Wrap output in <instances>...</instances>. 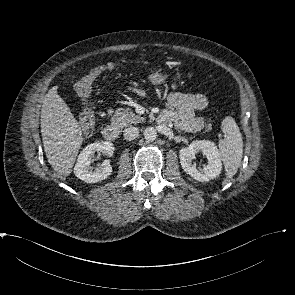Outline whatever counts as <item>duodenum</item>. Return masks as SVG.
Instances as JSON below:
<instances>
[{"mask_svg": "<svg viewBox=\"0 0 295 295\" xmlns=\"http://www.w3.org/2000/svg\"><path fill=\"white\" fill-rule=\"evenodd\" d=\"M102 134L106 140H117L119 137V128L115 123L108 124L103 128Z\"/></svg>", "mask_w": 295, "mask_h": 295, "instance_id": "410a0bca", "label": "duodenum"}]
</instances>
